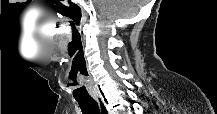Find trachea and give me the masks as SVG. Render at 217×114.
<instances>
[{
	"label": "trachea",
	"instance_id": "1",
	"mask_svg": "<svg viewBox=\"0 0 217 114\" xmlns=\"http://www.w3.org/2000/svg\"><path fill=\"white\" fill-rule=\"evenodd\" d=\"M84 114H100L98 103L93 98L76 99Z\"/></svg>",
	"mask_w": 217,
	"mask_h": 114
}]
</instances>
